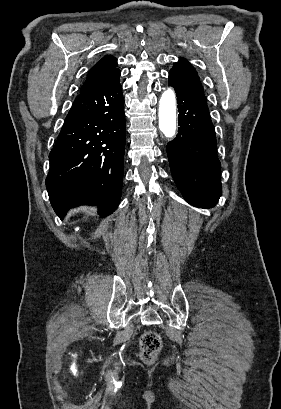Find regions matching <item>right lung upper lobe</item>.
Wrapping results in <instances>:
<instances>
[{"mask_svg":"<svg viewBox=\"0 0 281 409\" xmlns=\"http://www.w3.org/2000/svg\"><path fill=\"white\" fill-rule=\"evenodd\" d=\"M117 60L113 56H105L90 70L80 93L91 91L110 81L111 77L119 71L116 68Z\"/></svg>","mask_w":281,"mask_h":409,"instance_id":"1","label":"right lung upper lobe"}]
</instances>
